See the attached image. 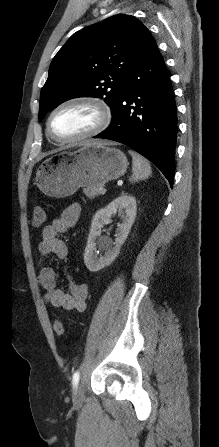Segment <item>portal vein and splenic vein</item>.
I'll return each instance as SVG.
<instances>
[{
    "mask_svg": "<svg viewBox=\"0 0 219 447\" xmlns=\"http://www.w3.org/2000/svg\"><path fill=\"white\" fill-rule=\"evenodd\" d=\"M100 191H101L102 194H104L106 192V189L105 188H101Z\"/></svg>",
    "mask_w": 219,
    "mask_h": 447,
    "instance_id": "1",
    "label": "portal vein and splenic vein"
}]
</instances>
